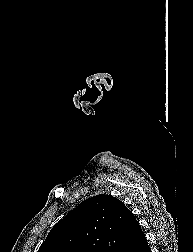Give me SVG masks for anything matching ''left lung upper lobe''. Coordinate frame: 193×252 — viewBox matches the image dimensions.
I'll return each mask as SVG.
<instances>
[{
  "label": "left lung upper lobe",
  "mask_w": 193,
  "mask_h": 252,
  "mask_svg": "<svg viewBox=\"0 0 193 252\" xmlns=\"http://www.w3.org/2000/svg\"><path fill=\"white\" fill-rule=\"evenodd\" d=\"M138 225L119 199L99 194L56 223L38 252H123Z\"/></svg>",
  "instance_id": "5c2ea615"
}]
</instances>
